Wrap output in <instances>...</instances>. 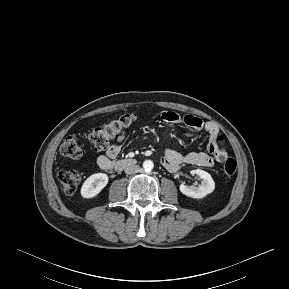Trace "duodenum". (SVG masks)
Returning a JSON list of instances; mask_svg holds the SVG:
<instances>
[{
    "mask_svg": "<svg viewBox=\"0 0 289 289\" xmlns=\"http://www.w3.org/2000/svg\"><path fill=\"white\" fill-rule=\"evenodd\" d=\"M135 163H136V161L134 159H121V160L115 162L112 165L110 170H112V169L122 170V169H124L126 167L134 165Z\"/></svg>",
    "mask_w": 289,
    "mask_h": 289,
    "instance_id": "410a0bca",
    "label": "duodenum"
}]
</instances>
